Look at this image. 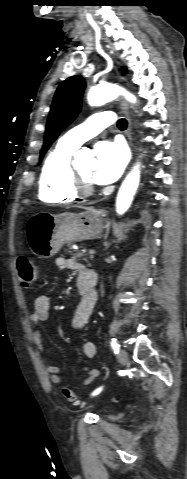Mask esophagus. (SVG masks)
<instances>
[{
    "label": "esophagus",
    "mask_w": 187,
    "mask_h": 479,
    "mask_svg": "<svg viewBox=\"0 0 187 479\" xmlns=\"http://www.w3.org/2000/svg\"><path fill=\"white\" fill-rule=\"evenodd\" d=\"M120 105L128 120V128H127L126 134L129 140L130 147L132 148V122H131L129 107L122 99L120 101Z\"/></svg>",
    "instance_id": "esophagus-1"
}]
</instances>
